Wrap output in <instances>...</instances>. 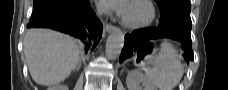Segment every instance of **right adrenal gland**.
<instances>
[{
  "instance_id": "1",
  "label": "right adrenal gland",
  "mask_w": 228,
  "mask_h": 90,
  "mask_svg": "<svg viewBox=\"0 0 228 90\" xmlns=\"http://www.w3.org/2000/svg\"><path fill=\"white\" fill-rule=\"evenodd\" d=\"M80 67H81V59L79 60L78 64H77V67L75 70H80Z\"/></svg>"
}]
</instances>
